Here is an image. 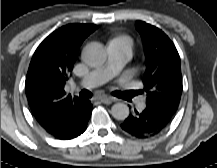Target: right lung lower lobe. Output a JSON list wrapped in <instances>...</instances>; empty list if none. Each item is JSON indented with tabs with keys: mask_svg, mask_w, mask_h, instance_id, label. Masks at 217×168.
Masks as SVG:
<instances>
[{
	"mask_svg": "<svg viewBox=\"0 0 217 168\" xmlns=\"http://www.w3.org/2000/svg\"><path fill=\"white\" fill-rule=\"evenodd\" d=\"M92 113V104L86 101L81 107L66 110L47 127V133L56 139L70 140L82 134Z\"/></svg>",
	"mask_w": 217,
	"mask_h": 168,
	"instance_id": "98d812e1",
	"label": "right lung lower lobe"
}]
</instances>
